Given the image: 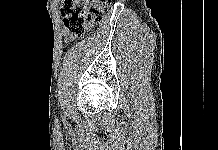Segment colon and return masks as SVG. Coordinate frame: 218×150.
<instances>
[{"label":"colon","instance_id":"1","mask_svg":"<svg viewBox=\"0 0 218 150\" xmlns=\"http://www.w3.org/2000/svg\"><path fill=\"white\" fill-rule=\"evenodd\" d=\"M111 0H62L65 26L74 36H82L98 21Z\"/></svg>","mask_w":218,"mask_h":150}]
</instances>
